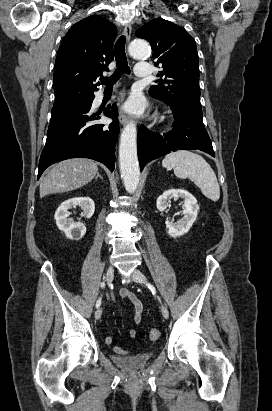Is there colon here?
Returning a JSON list of instances; mask_svg holds the SVG:
<instances>
[{
	"label": "colon",
	"instance_id": "obj_1",
	"mask_svg": "<svg viewBox=\"0 0 272 411\" xmlns=\"http://www.w3.org/2000/svg\"><path fill=\"white\" fill-rule=\"evenodd\" d=\"M160 337V331L156 328L151 329L148 334V338L150 341H156Z\"/></svg>",
	"mask_w": 272,
	"mask_h": 411
}]
</instances>
